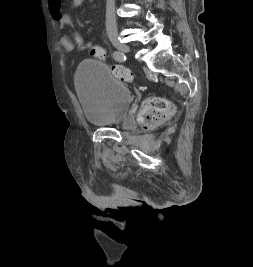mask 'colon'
Instances as JSON below:
<instances>
[{
	"instance_id": "5ec220e1",
	"label": "colon",
	"mask_w": 253,
	"mask_h": 267,
	"mask_svg": "<svg viewBox=\"0 0 253 267\" xmlns=\"http://www.w3.org/2000/svg\"><path fill=\"white\" fill-rule=\"evenodd\" d=\"M72 41L76 50L81 52L89 51L96 60H105L106 54L104 49L100 46L86 42L78 32L73 34ZM112 72L118 79L125 82H132L134 79L133 73L123 66H113ZM171 111V106L166 100L161 98H150L144 105L140 120L146 128H151L166 118Z\"/></svg>"
}]
</instances>
